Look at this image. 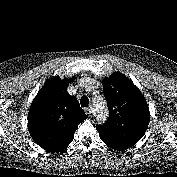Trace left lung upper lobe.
I'll return each mask as SVG.
<instances>
[{"mask_svg": "<svg viewBox=\"0 0 177 177\" xmlns=\"http://www.w3.org/2000/svg\"><path fill=\"white\" fill-rule=\"evenodd\" d=\"M109 118L96 126L109 146L131 147L144 135L150 121L149 107L141 91L125 75L115 72L102 80Z\"/></svg>", "mask_w": 177, "mask_h": 177, "instance_id": "1", "label": "left lung upper lobe"}]
</instances>
